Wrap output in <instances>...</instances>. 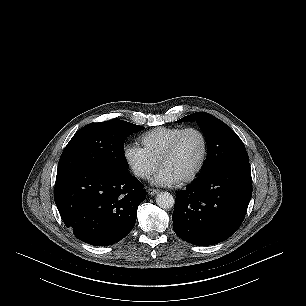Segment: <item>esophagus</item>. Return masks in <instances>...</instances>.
<instances>
[{
  "instance_id": "34e87169",
  "label": "esophagus",
  "mask_w": 306,
  "mask_h": 306,
  "mask_svg": "<svg viewBox=\"0 0 306 306\" xmlns=\"http://www.w3.org/2000/svg\"><path fill=\"white\" fill-rule=\"evenodd\" d=\"M159 192H160V190H158V189H153V188H149V189L147 190V193H148L149 195H151V196L156 195V194H158Z\"/></svg>"
}]
</instances>
